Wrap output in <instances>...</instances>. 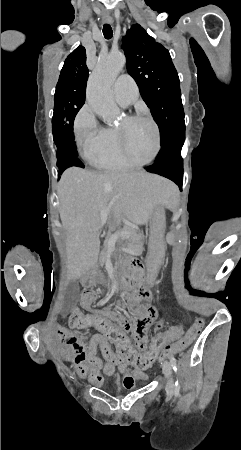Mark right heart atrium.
<instances>
[{
    "instance_id": "obj_1",
    "label": "right heart atrium",
    "mask_w": 241,
    "mask_h": 450,
    "mask_svg": "<svg viewBox=\"0 0 241 450\" xmlns=\"http://www.w3.org/2000/svg\"><path fill=\"white\" fill-rule=\"evenodd\" d=\"M98 123L96 116H90L87 107L83 108L77 115L75 128V141L79 153L83 155H97L100 150V130L95 125Z\"/></svg>"
}]
</instances>
